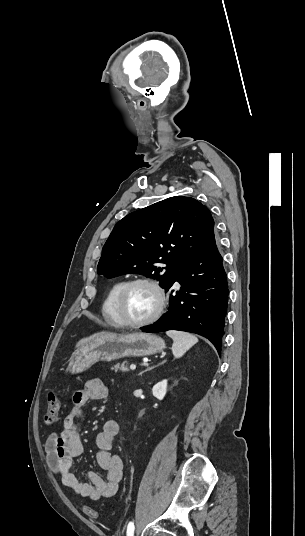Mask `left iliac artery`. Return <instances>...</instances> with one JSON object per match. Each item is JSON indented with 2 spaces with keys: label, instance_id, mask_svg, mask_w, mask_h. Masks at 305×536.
Returning <instances> with one entry per match:
<instances>
[{
  "label": "left iliac artery",
  "instance_id": "obj_1",
  "mask_svg": "<svg viewBox=\"0 0 305 536\" xmlns=\"http://www.w3.org/2000/svg\"><path fill=\"white\" fill-rule=\"evenodd\" d=\"M134 535V523L129 522L127 526V536H133Z\"/></svg>",
  "mask_w": 305,
  "mask_h": 536
}]
</instances>
